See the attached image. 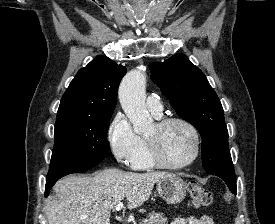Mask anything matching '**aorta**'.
<instances>
[{
  "label": "aorta",
  "instance_id": "obj_1",
  "mask_svg": "<svg viewBox=\"0 0 275 224\" xmlns=\"http://www.w3.org/2000/svg\"><path fill=\"white\" fill-rule=\"evenodd\" d=\"M145 85L144 73L134 69L126 74L119 87L120 104L137 134L148 131L153 123L145 105Z\"/></svg>",
  "mask_w": 275,
  "mask_h": 224
}]
</instances>
